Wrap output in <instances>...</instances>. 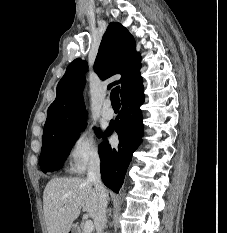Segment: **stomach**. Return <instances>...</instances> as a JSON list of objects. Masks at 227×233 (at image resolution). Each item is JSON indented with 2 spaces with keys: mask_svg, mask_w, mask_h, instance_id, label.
<instances>
[{
  "mask_svg": "<svg viewBox=\"0 0 227 233\" xmlns=\"http://www.w3.org/2000/svg\"><path fill=\"white\" fill-rule=\"evenodd\" d=\"M68 233H78L76 226L72 225L68 231Z\"/></svg>",
  "mask_w": 227,
  "mask_h": 233,
  "instance_id": "1",
  "label": "stomach"
}]
</instances>
